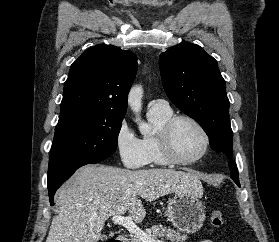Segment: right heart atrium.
I'll use <instances>...</instances> for the list:
<instances>
[{"label": "right heart atrium", "mask_w": 279, "mask_h": 242, "mask_svg": "<svg viewBox=\"0 0 279 242\" xmlns=\"http://www.w3.org/2000/svg\"><path fill=\"white\" fill-rule=\"evenodd\" d=\"M115 146L125 167L138 169L149 163L142 140L138 138L126 120H123L117 128Z\"/></svg>", "instance_id": "1"}]
</instances>
